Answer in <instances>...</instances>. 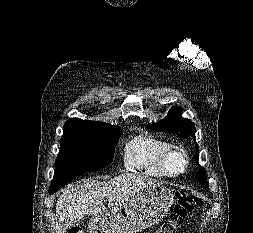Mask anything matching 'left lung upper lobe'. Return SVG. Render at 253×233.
<instances>
[{
  "label": "left lung upper lobe",
  "mask_w": 253,
  "mask_h": 233,
  "mask_svg": "<svg viewBox=\"0 0 253 233\" xmlns=\"http://www.w3.org/2000/svg\"><path fill=\"white\" fill-rule=\"evenodd\" d=\"M182 108L172 107L169 111V114L165 120L159 121L158 123L150 124L148 127L153 128L155 131L161 132H172L175 134L181 135L183 138L190 137V135L195 136L196 128L194 123L188 119L181 117ZM196 138L194 137V140ZM198 149V146H196ZM199 151L195 153V160L198 163ZM196 179L201 182L203 185L208 187V182L206 178V172L203 167H200V170L196 174Z\"/></svg>",
  "instance_id": "obj_1"
}]
</instances>
